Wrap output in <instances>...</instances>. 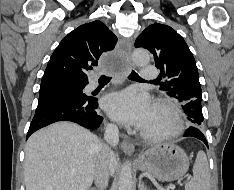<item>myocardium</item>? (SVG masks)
I'll use <instances>...</instances> for the list:
<instances>
[{
	"mask_svg": "<svg viewBox=\"0 0 234 190\" xmlns=\"http://www.w3.org/2000/svg\"><path fill=\"white\" fill-rule=\"evenodd\" d=\"M154 107L161 109L167 113L171 120L172 125L161 131H141V136L148 141H160L179 136L184 130V121L179 109L170 101L165 99H157L154 102Z\"/></svg>",
	"mask_w": 234,
	"mask_h": 190,
	"instance_id": "f54148a6",
	"label": "myocardium"
}]
</instances>
